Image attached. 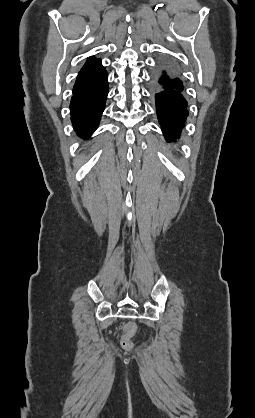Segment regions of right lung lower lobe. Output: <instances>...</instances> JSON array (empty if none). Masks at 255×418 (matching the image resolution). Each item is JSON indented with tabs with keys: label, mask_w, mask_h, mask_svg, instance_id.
Returning <instances> with one entry per match:
<instances>
[{
	"label": "right lung lower lobe",
	"mask_w": 255,
	"mask_h": 418,
	"mask_svg": "<svg viewBox=\"0 0 255 418\" xmlns=\"http://www.w3.org/2000/svg\"><path fill=\"white\" fill-rule=\"evenodd\" d=\"M108 76L100 59H89L80 70L70 103L71 121L82 138L98 127L108 94Z\"/></svg>",
	"instance_id": "obj_1"
}]
</instances>
